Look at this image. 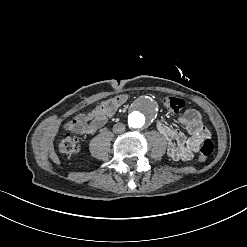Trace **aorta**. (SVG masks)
<instances>
[{
  "label": "aorta",
  "mask_w": 247,
  "mask_h": 247,
  "mask_svg": "<svg viewBox=\"0 0 247 247\" xmlns=\"http://www.w3.org/2000/svg\"><path fill=\"white\" fill-rule=\"evenodd\" d=\"M145 123V118L144 116L139 113V112H135L134 114H132L129 118V125L133 128H139L142 127Z\"/></svg>",
  "instance_id": "762f6f07"
}]
</instances>
